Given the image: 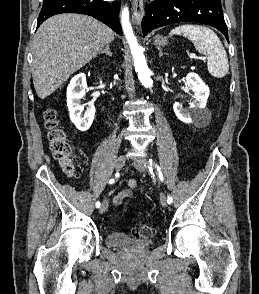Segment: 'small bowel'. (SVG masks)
Listing matches in <instances>:
<instances>
[{"mask_svg":"<svg viewBox=\"0 0 259 294\" xmlns=\"http://www.w3.org/2000/svg\"><path fill=\"white\" fill-rule=\"evenodd\" d=\"M129 189H125L114 196L111 200V204L113 206H125L127 202L130 200L133 194V189L137 187V183L135 180L131 179L128 182Z\"/></svg>","mask_w":259,"mask_h":294,"instance_id":"c3829d8e","label":"small bowel"}]
</instances>
